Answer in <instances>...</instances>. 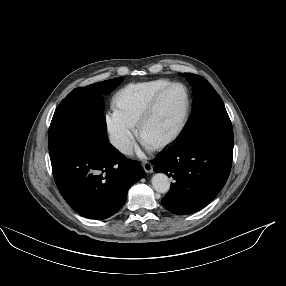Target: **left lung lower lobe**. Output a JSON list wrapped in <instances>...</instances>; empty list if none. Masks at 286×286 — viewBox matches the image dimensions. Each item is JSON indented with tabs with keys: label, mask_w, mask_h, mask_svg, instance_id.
I'll use <instances>...</instances> for the list:
<instances>
[{
	"label": "left lung lower lobe",
	"mask_w": 286,
	"mask_h": 286,
	"mask_svg": "<svg viewBox=\"0 0 286 286\" xmlns=\"http://www.w3.org/2000/svg\"><path fill=\"white\" fill-rule=\"evenodd\" d=\"M233 139H203L174 145L154 160V171L175 179L162 204L186 215L208 205L225 185L232 164Z\"/></svg>",
	"instance_id": "left-lung-lower-lobe-1"
}]
</instances>
